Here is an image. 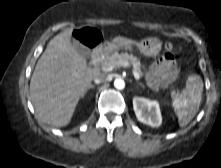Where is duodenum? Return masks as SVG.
<instances>
[{
  "label": "duodenum",
  "mask_w": 221,
  "mask_h": 168,
  "mask_svg": "<svg viewBox=\"0 0 221 168\" xmlns=\"http://www.w3.org/2000/svg\"><path fill=\"white\" fill-rule=\"evenodd\" d=\"M103 55L104 48L102 46L95 48L91 54V63L94 65L98 64L101 61Z\"/></svg>",
  "instance_id": "duodenum-1"
}]
</instances>
